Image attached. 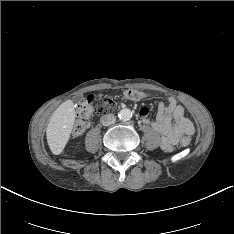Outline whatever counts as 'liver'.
<instances>
[{
	"mask_svg": "<svg viewBox=\"0 0 234 234\" xmlns=\"http://www.w3.org/2000/svg\"><path fill=\"white\" fill-rule=\"evenodd\" d=\"M75 109L71 100L63 102L53 113L46 130V138L53 154H60L69 140L75 121Z\"/></svg>",
	"mask_w": 234,
	"mask_h": 234,
	"instance_id": "obj_1",
	"label": "liver"
}]
</instances>
